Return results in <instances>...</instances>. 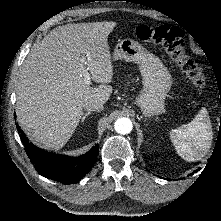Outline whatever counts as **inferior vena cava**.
I'll return each mask as SVG.
<instances>
[{
    "mask_svg": "<svg viewBox=\"0 0 221 221\" xmlns=\"http://www.w3.org/2000/svg\"><path fill=\"white\" fill-rule=\"evenodd\" d=\"M83 108L87 111H101L103 110V103L97 100H89L83 105Z\"/></svg>",
    "mask_w": 221,
    "mask_h": 221,
    "instance_id": "602c4592",
    "label": "inferior vena cava"
}]
</instances>
